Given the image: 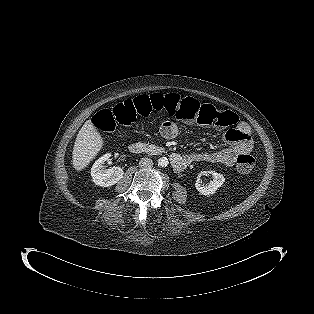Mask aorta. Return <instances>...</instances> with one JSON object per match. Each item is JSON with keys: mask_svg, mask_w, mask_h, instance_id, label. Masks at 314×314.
<instances>
[{"mask_svg": "<svg viewBox=\"0 0 314 314\" xmlns=\"http://www.w3.org/2000/svg\"><path fill=\"white\" fill-rule=\"evenodd\" d=\"M168 164H169V160H168L167 157H161V158H159V160H158V165H159L160 167H166V166H168Z\"/></svg>", "mask_w": 314, "mask_h": 314, "instance_id": "aorta-1", "label": "aorta"}]
</instances>
